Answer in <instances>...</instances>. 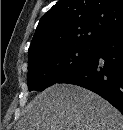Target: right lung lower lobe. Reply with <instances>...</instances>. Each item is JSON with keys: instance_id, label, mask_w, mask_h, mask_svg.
Returning <instances> with one entry per match:
<instances>
[{"instance_id": "right-lung-lower-lobe-1", "label": "right lung lower lobe", "mask_w": 123, "mask_h": 130, "mask_svg": "<svg viewBox=\"0 0 123 130\" xmlns=\"http://www.w3.org/2000/svg\"><path fill=\"white\" fill-rule=\"evenodd\" d=\"M59 83L89 89L123 114V26L102 37L93 53Z\"/></svg>"}]
</instances>
